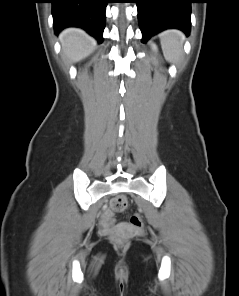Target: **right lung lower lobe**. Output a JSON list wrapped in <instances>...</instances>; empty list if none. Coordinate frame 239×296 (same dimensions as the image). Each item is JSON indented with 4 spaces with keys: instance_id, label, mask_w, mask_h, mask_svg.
Listing matches in <instances>:
<instances>
[{
    "instance_id": "obj_1",
    "label": "right lung lower lobe",
    "mask_w": 239,
    "mask_h": 296,
    "mask_svg": "<svg viewBox=\"0 0 239 296\" xmlns=\"http://www.w3.org/2000/svg\"><path fill=\"white\" fill-rule=\"evenodd\" d=\"M55 33L69 26L81 27L103 41L105 9L108 0H50Z\"/></svg>"
}]
</instances>
